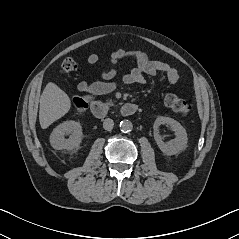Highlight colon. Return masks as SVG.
<instances>
[{
  "instance_id": "1",
  "label": "colon",
  "mask_w": 239,
  "mask_h": 239,
  "mask_svg": "<svg viewBox=\"0 0 239 239\" xmlns=\"http://www.w3.org/2000/svg\"><path fill=\"white\" fill-rule=\"evenodd\" d=\"M77 62L74 57H67L61 64L60 71L64 75H68L76 71ZM87 97H77L74 100V106L79 114H83L88 108ZM166 105L174 112L185 117L188 116L192 110V105L184 99L179 98L175 94H167L165 97Z\"/></svg>"
}]
</instances>
